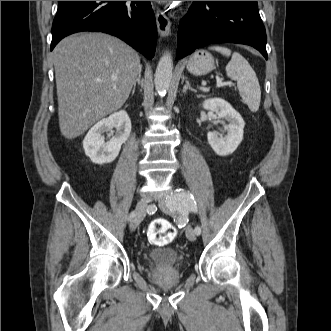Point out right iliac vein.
<instances>
[{
  "label": "right iliac vein",
  "mask_w": 331,
  "mask_h": 331,
  "mask_svg": "<svg viewBox=\"0 0 331 331\" xmlns=\"http://www.w3.org/2000/svg\"><path fill=\"white\" fill-rule=\"evenodd\" d=\"M147 204L144 200L138 201L135 211H134V216L132 217L131 223H130V229L134 231L140 222L143 220L145 216V211H146Z\"/></svg>",
  "instance_id": "63e3f726"
}]
</instances>
